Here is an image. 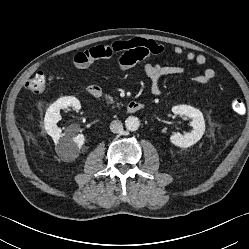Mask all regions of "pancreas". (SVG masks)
I'll list each match as a JSON object with an SVG mask.
<instances>
[{"label":"pancreas","instance_id":"obj_1","mask_svg":"<svg viewBox=\"0 0 249 249\" xmlns=\"http://www.w3.org/2000/svg\"><path fill=\"white\" fill-rule=\"evenodd\" d=\"M105 98L108 99V103L113 104L114 103V98L109 96V95H105Z\"/></svg>","mask_w":249,"mask_h":249}]
</instances>
